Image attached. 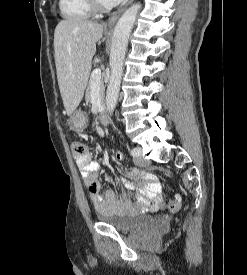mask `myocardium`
I'll return each instance as SVG.
<instances>
[{"instance_id":"myocardium-1","label":"myocardium","mask_w":247,"mask_h":275,"mask_svg":"<svg viewBox=\"0 0 247 275\" xmlns=\"http://www.w3.org/2000/svg\"><path fill=\"white\" fill-rule=\"evenodd\" d=\"M91 6V8L96 12H104L108 11L112 8V4L110 3H104L101 0H87Z\"/></svg>"}]
</instances>
